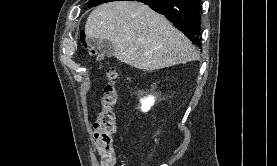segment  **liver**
Masks as SVG:
<instances>
[{
  "mask_svg": "<svg viewBox=\"0 0 277 166\" xmlns=\"http://www.w3.org/2000/svg\"><path fill=\"white\" fill-rule=\"evenodd\" d=\"M87 39H107L115 57L132 67L158 70L199 59L194 45L165 17L136 1L109 2L88 16Z\"/></svg>",
  "mask_w": 277,
  "mask_h": 166,
  "instance_id": "6515ba94",
  "label": "liver"
}]
</instances>
